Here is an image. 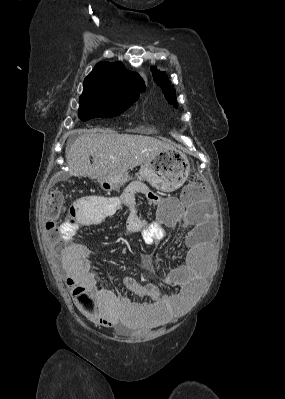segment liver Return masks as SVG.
Returning <instances> with one entry per match:
<instances>
[{"label":"liver","mask_w":285,"mask_h":399,"mask_svg":"<svg viewBox=\"0 0 285 399\" xmlns=\"http://www.w3.org/2000/svg\"><path fill=\"white\" fill-rule=\"evenodd\" d=\"M174 149L164 141L143 135L91 132L77 138L66 153L70 176L101 180L120 178L150 161L162 150ZM93 157V163L90 162Z\"/></svg>","instance_id":"liver-1"}]
</instances>
